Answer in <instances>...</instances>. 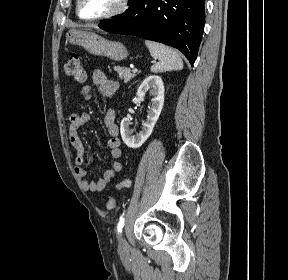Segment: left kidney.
<instances>
[{"mask_svg":"<svg viewBox=\"0 0 288 280\" xmlns=\"http://www.w3.org/2000/svg\"><path fill=\"white\" fill-rule=\"evenodd\" d=\"M148 90L150 95L153 96V99L152 105L149 107L147 119L143 123L142 130L136 136H133L132 131L130 130L131 120L128 117H125L121 121V137L129 148H138L148 139L163 108L165 89L162 78L156 75L147 77L137 90V99L144 100L145 93Z\"/></svg>","mask_w":288,"mask_h":280,"instance_id":"obj_1","label":"left kidney"}]
</instances>
